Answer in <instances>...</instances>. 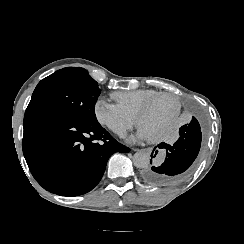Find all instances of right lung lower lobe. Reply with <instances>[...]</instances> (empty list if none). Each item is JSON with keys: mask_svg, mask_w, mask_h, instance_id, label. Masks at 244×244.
<instances>
[{"mask_svg": "<svg viewBox=\"0 0 244 244\" xmlns=\"http://www.w3.org/2000/svg\"><path fill=\"white\" fill-rule=\"evenodd\" d=\"M23 154L36 181L46 190L76 196L101 180L114 152L130 149L97 122H82L48 110H26Z\"/></svg>", "mask_w": 244, "mask_h": 244, "instance_id": "right-lung-lower-lobe-1", "label": "right lung lower lobe"}]
</instances>
